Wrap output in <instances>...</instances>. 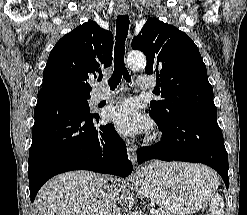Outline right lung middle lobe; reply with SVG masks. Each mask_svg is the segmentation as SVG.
Listing matches in <instances>:
<instances>
[{
  "instance_id": "obj_1",
  "label": "right lung middle lobe",
  "mask_w": 247,
  "mask_h": 215,
  "mask_svg": "<svg viewBox=\"0 0 247 215\" xmlns=\"http://www.w3.org/2000/svg\"><path fill=\"white\" fill-rule=\"evenodd\" d=\"M39 93L47 94L84 112H90L89 104L87 102V100L90 99V95L80 94L63 88H48L40 90Z\"/></svg>"
}]
</instances>
